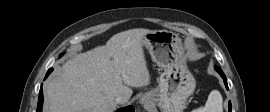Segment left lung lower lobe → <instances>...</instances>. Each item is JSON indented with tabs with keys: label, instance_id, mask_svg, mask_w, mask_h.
Segmentation results:
<instances>
[{
	"label": "left lung lower lobe",
	"instance_id": "1",
	"mask_svg": "<svg viewBox=\"0 0 270 112\" xmlns=\"http://www.w3.org/2000/svg\"><path fill=\"white\" fill-rule=\"evenodd\" d=\"M215 70L220 74V76L223 78V81L225 83L226 88L228 89V84H227V80L226 77L223 73V71L219 68V67H215ZM229 112H231V103H229Z\"/></svg>",
	"mask_w": 270,
	"mask_h": 112
}]
</instances>
